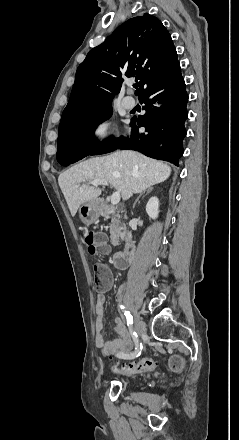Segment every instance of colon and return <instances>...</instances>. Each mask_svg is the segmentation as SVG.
<instances>
[{
	"mask_svg": "<svg viewBox=\"0 0 239 440\" xmlns=\"http://www.w3.org/2000/svg\"><path fill=\"white\" fill-rule=\"evenodd\" d=\"M86 242L88 244V250L91 255L107 252L105 235L101 232H89L86 236ZM94 281L98 289H103L108 281L109 275L107 269L102 264L94 265ZM172 366L177 369L180 366L178 360L172 361ZM154 364L152 360L148 358L139 359L127 364L116 365L113 367L114 371L122 374H135L153 369Z\"/></svg>",
	"mask_w": 239,
	"mask_h": 440,
	"instance_id": "colon-1",
	"label": "colon"
}]
</instances>
